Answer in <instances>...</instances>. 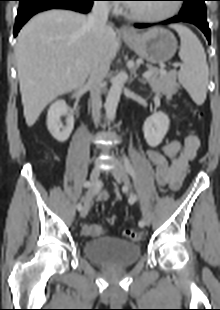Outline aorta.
Segmentation results:
<instances>
[{"instance_id": "762f6f07", "label": "aorta", "mask_w": 220, "mask_h": 310, "mask_svg": "<svg viewBox=\"0 0 220 310\" xmlns=\"http://www.w3.org/2000/svg\"><path fill=\"white\" fill-rule=\"evenodd\" d=\"M126 78L127 74L124 71L119 72L114 77L108 95L106 97L105 111L108 120L111 122L115 119L117 106Z\"/></svg>"}]
</instances>
